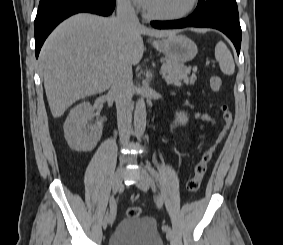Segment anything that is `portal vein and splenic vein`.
<instances>
[{
    "label": "portal vein and splenic vein",
    "instance_id": "1",
    "mask_svg": "<svg viewBox=\"0 0 283 245\" xmlns=\"http://www.w3.org/2000/svg\"><path fill=\"white\" fill-rule=\"evenodd\" d=\"M160 73L163 74V67H161Z\"/></svg>",
    "mask_w": 283,
    "mask_h": 245
}]
</instances>
